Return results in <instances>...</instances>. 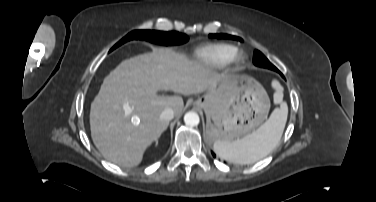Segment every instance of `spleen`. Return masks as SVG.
Segmentation results:
<instances>
[{
    "mask_svg": "<svg viewBox=\"0 0 376 202\" xmlns=\"http://www.w3.org/2000/svg\"><path fill=\"white\" fill-rule=\"evenodd\" d=\"M277 89L276 103H280L282 92L279 83L274 82ZM288 115V107L282 103L270 118L253 133L231 142L216 141L213 145L215 153L222 159L236 164H251L266 157L279 143Z\"/></svg>",
    "mask_w": 376,
    "mask_h": 202,
    "instance_id": "spleen-1",
    "label": "spleen"
}]
</instances>
